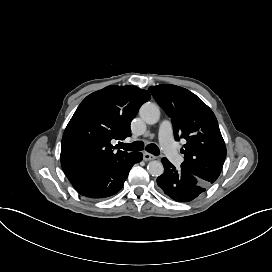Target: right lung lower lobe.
Segmentation results:
<instances>
[{
  "mask_svg": "<svg viewBox=\"0 0 272 272\" xmlns=\"http://www.w3.org/2000/svg\"><path fill=\"white\" fill-rule=\"evenodd\" d=\"M141 160V153H127L106 165L75 174L68 179L82 196L107 198L123 187L131 167Z\"/></svg>",
  "mask_w": 272,
  "mask_h": 272,
  "instance_id": "1",
  "label": "right lung lower lobe"
}]
</instances>
